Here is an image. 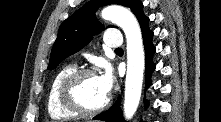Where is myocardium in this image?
<instances>
[{
    "label": "myocardium",
    "mask_w": 221,
    "mask_h": 122,
    "mask_svg": "<svg viewBox=\"0 0 221 122\" xmlns=\"http://www.w3.org/2000/svg\"><path fill=\"white\" fill-rule=\"evenodd\" d=\"M86 76H97L96 72L89 68H76L71 71L60 83L58 97L61 105L77 115L91 116L102 112L109 104V97L97 107L87 108L76 98L75 87L80 79Z\"/></svg>",
    "instance_id": "myocardium-1"
}]
</instances>
